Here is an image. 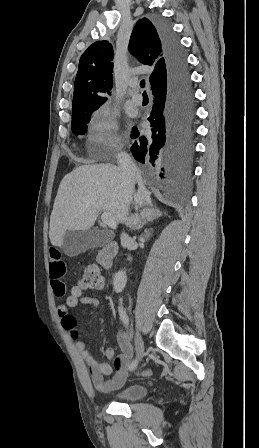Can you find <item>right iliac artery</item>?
<instances>
[{"label": "right iliac artery", "mask_w": 259, "mask_h": 448, "mask_svg": "<svg viewBox=\"0 0 259 448\" xmlns=\"http://www.w3.org/2000/svg\"><path fill=\"white\" fill-rule=\"evenodd\" d=\"M118 310H119V315H120L121 320L123 321L124 325L126 327H128L129 319L126 314V311L121 306H119ZM137 365H138V360L137 359L133 360L131 362V364L129 365V370H134L137 367Z\"/></svg>", "instance_id": "82829eb1"}]
</instances>
